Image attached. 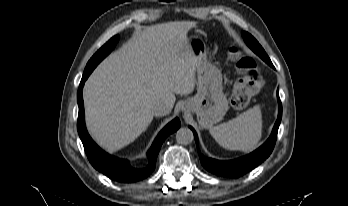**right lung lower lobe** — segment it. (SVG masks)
Segmentation results:
<instances>
[{
    "label": "right lung lower lobe",
    "mask_w": 348,
    "mask_h": 206,
    "mask_svg": "<svg viewBox=\"0 0 348 206\" xmlns=\"http://www.w3.org/2000/svg\"><path fill=\"white\" fill-rule=\"evenodd\" d=\"M104 57H94L91 59L83 73L82 80L77 93L79 115L77 122V129L80 139L83 143L86 155L92 164V166L98 171L104 173L109 178L119 182H134L146 178L149 176L154 168L158 153L165 138L171 133L175 132L180 127V121L178 118L170 122L156 137L151 148L148 151L149 165L145 169L132 168L127 160H121L112 157L102 151L90 138L84 120V104L82 97V88L84 82L94 70V68L102 61Z\"/></svg>",
    "instance_id": "98d812e1"
}]
</instances>
